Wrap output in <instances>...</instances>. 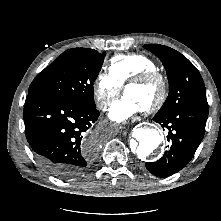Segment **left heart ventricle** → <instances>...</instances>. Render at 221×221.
<instances>
[{"mask_svg": "<svg viewBox=\"0 0 221 221\" xmlns=\"http://www.w3.org/2000/svg\"><path fill=\"white\" fill-rule=\"evenodd\" d=\"M159 94V87L155 83L133 85L125 90V95L135 100L143 109L156 100Z\"/></svg>", "mask_w": 221, "mask_h": 221, "instance_id": "1", "label": "left heart ventricle"}]
</instances>
